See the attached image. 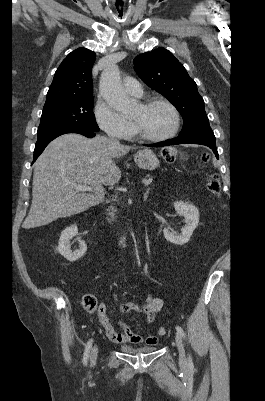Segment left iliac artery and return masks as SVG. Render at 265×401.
Here are the masks:
<instances>
[{
  "label": "left iliac artery",
  "mask_w": 265,
  "mask_h": 401,
  "mask_svg": "<svg viewBox=\"0 0 265 401\" xmlns=\"http://www.w3.org/2000/svg\"><path fill=\"white\" fill-rule=\"evenodd\" d=\"M176 329H177V332L180 334V336H182V337L185 336L184 330L182 329L181 326L177 325ZM188 366H189V368H191V369L194 368L193 361H192V358H191L190 355H189V359H188Z\"/></svg>",
  "instance_id": "obj_1"
}]
</instances>
